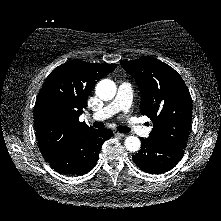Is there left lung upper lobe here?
Segmentation results:
<instances>
[{
    "label": "left lung upper lobe",
    "mask_w": 221,
    "mask_h": 221,
    "mask_svg": "<svg viewBox=\"0 0 221 221\" xmlns=\"http://www.w3.org/2000/svg\"><path fill=\"white\" fill-rule=\"evenodd\" d=\"M120 64L140 88L141 114L154 122L148 139L184 149L192 119V99L178 72L152 57Z\"/></svg>",
    "instance_id": "1"
}]
</instances>
